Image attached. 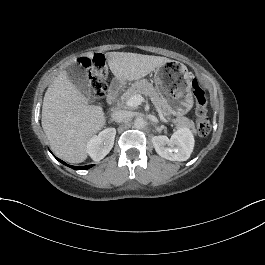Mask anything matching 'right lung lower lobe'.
I'll list each match as a JSON object with an SVG mask.
<instances>
[{
  "label": "right lung lower lobe",
  "mask_w": 265,
  "mask_h": 265,
  "mask_svg": "<svg viewBox=\"0 0 265 265\" xmlns=\"http://www.w3.org/2000/svg\"><path fill=\"white\" fill-rule=\"evenodd\" d=\"M61 163H63V164H65V165H67V166H69V167H71L72 169H74V170H86V169H88V168H91L93 165H88V166H81V167H76V166H70V165H68V164H66L65 162H63L62 160H59Z\"/></svg>",
  "instance_id": "obj_1"
}]
</instances>
